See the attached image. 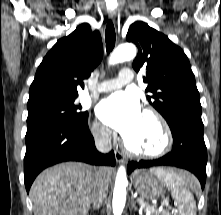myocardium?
<instances>
[{
  "instance_id": "obj_1",
  "label": "myocardium",
  "mask_w": 221,
  "mask_h": 215,
  "mask_svg": "<svg viewBox=\"0 0 221 215\" xmlns=\"http://www.w3.org/2000/svg\"><path fill=\"white\" fill-rule=\"evenodd\" d=\"M143 115L152 119L158 126L161 133V144L155 150H138L132 147L129 142L123 138L124 148L133 156L140 158H158L168 153L172 147L173 138L170 126L166 119L155 109L147 108L143 111Z\"/></svg>"
}]
</instances>
